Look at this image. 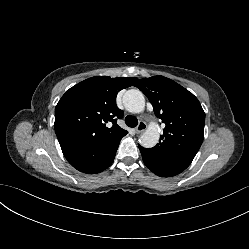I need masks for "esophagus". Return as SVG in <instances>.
I'll return each instance as SVG.
<instances>
[{"mask_svg": "<svg viewBox=\"0 0 249 249\" xmlns=\"http://www.w3.org/2000/svg\"><path fill=\"white\" fill-rule=\"evenodd\" d=\"M147 125L144 121H140L138 126L135 128L136 133H142L146 130Z\"/></svg>", "mask_w": 249, "mask_h": 249, "instance_id": "esophagus-1", "label": "esophagus"}]
</instances>
